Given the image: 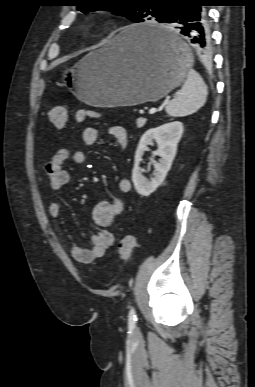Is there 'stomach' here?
Masks as SVG:
<instances>
[{"mask_svg":"<svg viewBox=\"0 0 255 387\" xmlns=\"http://www.w3.org/2000/svg\"><path fill=\"white\" fill-rule=\"evenodd\" d=\"M163 30L157 23L133 25L102 48L90 52L64 72V83L76 97L97 107L133 106L157 101L187 77L192 63L188 45L168 32L180 52L168 54L147 41L144 32Z\"/></svg>","mask_w":255,"mask_h":387,"instance_id":"1","label":"stomach"}]
</instances>
